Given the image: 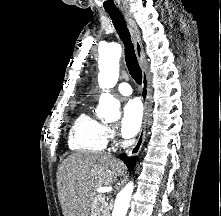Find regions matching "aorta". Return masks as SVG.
Returning <instances> with one entry per match:
<instances>
[{"label": "aorta", "mask_w": 221, "mask_h": 216, "mask_svg": "<svg viewBox=\"0 0 221 216\" xmlns=\"http://www.w3.org/2000/svg\"><path fill=\"white\" fill-rule=\"evenodd\" d=\"M121 46L109 43L99 50L98 82L102 89H109L116 85L119 78V60ZM99 118L117 120L120 117V103L108 91L100 96L96 110ZM134 189L132 182L128 183L116 196L112 216H125Z\"/></svg>", "instance_id": "1"}]
</instances>
